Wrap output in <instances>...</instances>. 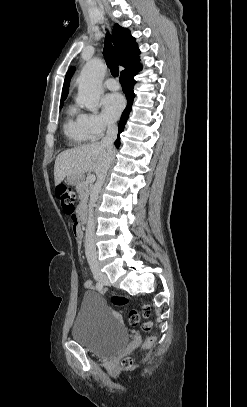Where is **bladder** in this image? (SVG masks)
Wrapping results in <instances>:
<instances>
[{
  "label": "bladder",
  "instance_id": "31cf9c89",
  "mask_svg": "<svg viewBox=\"0 0 247 407\" xmlns=\"http://www.w3.org/2000/svg\"><path fill=\"white\" fill-rule=\"evenodd\" d=\"M75 342L99 355L119 353L128 343L129 333L104 298L85 293L72 327Z\"/></svg>",
  "mask_w": 247,
  "mask_h": 407
}]
</instances>
